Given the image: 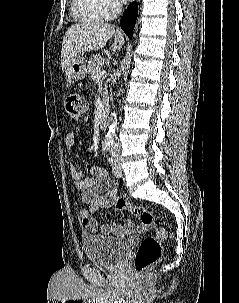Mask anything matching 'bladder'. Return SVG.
<instances>
[{"mask_svg": "<svg viewBox=\"0 0 239 303\" xmlns=\"http://www.w3.org/2000/svg\"><path fill=\"white\" fill-rule=\"evenodd\" d=\"M134 235L107 236L89 233L82 237V247L87 260L103 266H115L126 254Z\"/></svg>", "mask_w": 239, "mask_h": 303, "instance_id": "1", "label": "bladder"}]
</instances>
